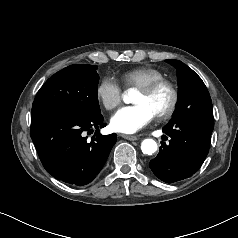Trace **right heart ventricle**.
Instances as JSON below:
<instances>
[{"label": "right heart ventricle", "instance_id": "right-heart-ventricle-1", "mask_svg": "<svg viewBox=\"0 0 238 238\" xmlns=\"http://www.w3.org/2000/svg\"><path fill=\"white\" fill-rule=\"evenodd\" d=\"M164 78L163 73L153 67H138L121 75L123 84L127 87L140 88L152 81Z\"/></svg>", "mask_w": 238, "mask_h": 238}]
</instances>
